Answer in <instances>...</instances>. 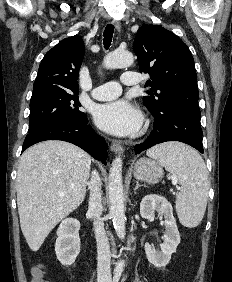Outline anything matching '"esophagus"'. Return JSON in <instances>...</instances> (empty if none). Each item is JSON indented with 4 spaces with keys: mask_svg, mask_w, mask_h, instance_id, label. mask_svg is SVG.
<instances>
[{
    "mask_svg": "<svg viewBox=\"0 0 232 282\" xmlns=\"http://www.w3.org/2000/svg\"><path fill=\"white\" fill-rule=\"evenodd\" d=\"M111 23L114 25V27H115V29H116L117 31H120V29H121V24H120V22H119L118 20H112ZM110 148H111V150H112L113 152H115V153H118V154L123 153V148H122L121 144H120L119 142H117V141H113V142L111 143Z\"/></svg>",
    "mask_w": 232,
    "mask_h": 282,
    "instance_id": "34e87169",
    "label": "esophagus"
}]
</instances>
